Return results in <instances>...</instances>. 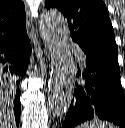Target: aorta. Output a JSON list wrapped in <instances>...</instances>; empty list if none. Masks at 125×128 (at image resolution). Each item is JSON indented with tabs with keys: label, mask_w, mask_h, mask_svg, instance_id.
I'll return each mask as SVG.
<instances>
[{
	"label": "aorta",
	"mask_w": 125,
	"mask_h": 128,
	"mask_svg": "<svg viewBox=\"0 0 125 128\" xmlns=\"http://www.w3.org/2000/svg\"><path fill=\"white\" fill-rule=\"evenodd\" d=\"M40 32L51 56V74L48 82L49 111L53 116H63L73 99L74 64L68 44V25L56 9L40 16Z\"/></svg>",
	"instance_id": "762f6f07"
}]
</instances>
